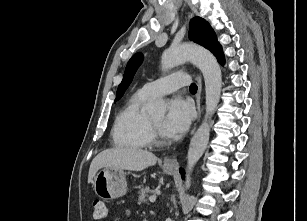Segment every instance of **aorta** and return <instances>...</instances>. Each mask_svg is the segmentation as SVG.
Instances as JSON below:
<instances>
[{"mask_svg": "<svg viewBox=\"0 0 307 221\" xmlns=\"http://www.w3.org/2000/svg\"><path fill=\"white\" fill-rule=\"evenodd\" d=\"M185 61H192L201 70L206 93L205 118L193 135L188 149L185 186L189 188L192 170L209 142L210 125L208 120L214 114L220 100L222 75L214 55L202 47L192 45H181L165 50L161 57V68L163 71H168ZM148 110L152 114L164 115L166 105L163 100H158L150 105Z\"/></svg>", "mask_w": 307, "mask_h": 221, "instance_id": "aorta-1", "label": "aorta"}]
</instances>
